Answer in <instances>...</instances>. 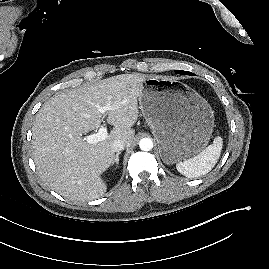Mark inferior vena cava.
Here are the masks:
<instances>
[{"label":"inferior vena cava","instance_id":"1","mask_svg":"<svg viewBox=\"0 0 269 269\" xmlns=\"http://www.w3.org/2000/svg\"><path fill=\"white\" fill-rule=\"evenodd\" d=\"M125 148V142L123 140H115L112 143L111 149L114 152H120Z\"/></svg>","mask_w":269,"mask_h":269}]
</instances>
